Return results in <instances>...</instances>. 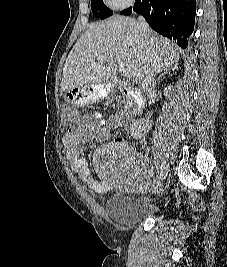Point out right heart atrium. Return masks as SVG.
Listing matches in <instances>:
<instances>
[{
	"label": "right heart atrium",
	"instance_id": "obj_1",
	"mask_svg": "<svg viewBox=\"0 0 227 267\" xmlns=\"http://www.w3.org/2000/svg\"><path fill=\"white\" fill-rule=\"evenodd\" d=\"M136 0H106L107 4L114 9H125L132 6Z\"/></svg>",
	"mask_w": 227,
	"mask_h": 267
}]
</instances>
